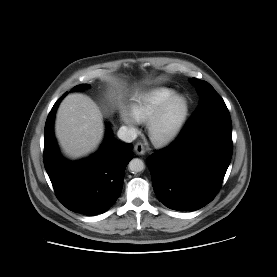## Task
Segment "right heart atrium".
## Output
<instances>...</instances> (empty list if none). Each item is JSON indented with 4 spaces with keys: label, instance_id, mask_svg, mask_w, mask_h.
<instances>
[{
    "label": "right heart atrium",
    "instance_id": "d8ad5b80",
    "mask_svg": "<svg viewBox=\"0 0 277 277\" xmlns=\"http://www.w3.org/2000/svg\"><path fill=\"white\" fill-rule=\"evenodd\" d=\"M122 120L125 124H127L129 126L135 125V120L133 118L129 117L128 114H126V113L122 114Z\"/></svg>",
    "mask_w": 277,
    "mask_h": 277
}]
</instances>
